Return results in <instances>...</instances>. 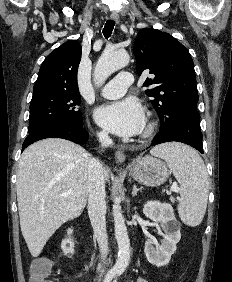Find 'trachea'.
I'll list each match as a JSON object with an SVG mask.
<instances>
[{"mask_svg":"<svg viewBox=\"0 0 232 282\" xmlns=\"http://www.w3.org/2000/svg\"><path fill=\"white\" fill-rule=\"evenodd\" d=\"M114 26H115L114 20H107L103 28V34L105 38H109L111 36Z\"/></svg>","mask_w":232,"mask_h":282,"instance_id":"trachea-1","label":"trachea"}]
</instances>
